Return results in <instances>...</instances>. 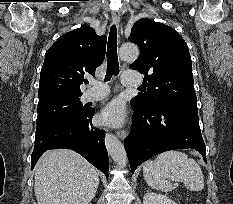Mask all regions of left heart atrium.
Segmentation results:
<instances>
[{"label":"left heart atrium","mask_w":233,"mask_h":204,"mask_svg":"<svg viewBox=\"0 0 233 204\" xmlns=\"http://www.w3.org/2000/svg\"><path fill=\"white\" fill-rule=\"evenodd\" d=\"M125 108L121 101L114 100L107 104L100 114L102 123L110 126H119L125 120Z\"/></svg>","instance_id":"1"}]
</instances>
